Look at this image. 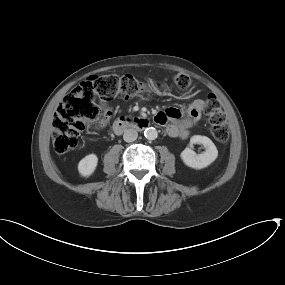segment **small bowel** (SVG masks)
I'll use <instances>...</instances> for the list:
<instances>
[{
  "mask_svg": "<svg viewBox=\"0 0 285 285\" xmlns=\"http://www.w3.org/2000/svg\"><path fill=\"white\" fill-rule=\"evenodd\" d=\"M100 106L104 115L107 118H110L113 111L107 101L101 100ZM159 113H162L167 118L169 124L166 130L170 136L185 138L188 135V128L191 126L192 122L201 117L202 102L195 101L185 112L176 107H168Z\"/></svg>",
  "mask_w": 285,
  "mask_h": 285,
  "instance_id": "small-bowel-1",
  "label": "small bowel"
}]
</instances>
